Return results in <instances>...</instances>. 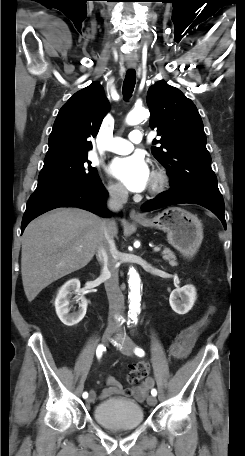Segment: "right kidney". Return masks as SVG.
Returning a JSON list of instances; mask_svg holds the SVG:
<instances>
[{
  "label": "right kidney",
  "instance_id": "ca27d5eb",
  "mask_svg": "<svg viewBox=\"0 0 245 456\" xmlns=\"http://www.w3.org/2000/svg\"><path fill=\"white\" fill-rule=\"evenodd\" d=\"M75 295L74 299L79 303V310L75 313H69L70 298ZM88 302L80 294V281L78 279L68 280L58 291L55 299L56 314L61 322L66 326L78 324L85 316Z\"/></svg>",
  "mask_w": 245,
  "mask_h": 456
}]
</instances>
